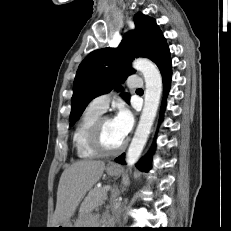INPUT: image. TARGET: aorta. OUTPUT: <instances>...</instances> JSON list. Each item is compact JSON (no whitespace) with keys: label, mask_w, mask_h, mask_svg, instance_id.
<instances>
[{"label":"aorta","mask_w":231,"mask_h":231,"mask_svg":"<svg viewBox=\"0 0 231 231\" xmlns=\"http://www.w3.org/2000/svg\"><path fill=\"white\" fill-rule=\"evenodd\" d=\"M132 66L142 73L146 90L144 93V107L126 155V162L129 166L138 161L143 151L157 114L162 93V77L153 62L146 58H138L133 61Z\"/></svg>","instance_id":"1"}]
</instances>
